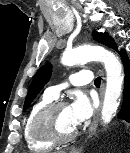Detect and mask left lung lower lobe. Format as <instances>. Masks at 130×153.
I'll use <instances>...</instances> for the list:
<instances>
[{
	"mask_svg": "<svg viewBox=\"0 0 130 153\" xmlns=\"http://www.w3.org/2000/svg\"><path fill=\"white\" fill-rule=\"evenodd\" d=\"M107 46L117 50L116 44L112 39H108ZM120 55L122 57V61L124 63L125 68V86H124V101L122 105L121 112L119 113V117L130 122V60L125 54L124 50H121Z\"/></svg>",
	"mask_w": 130,
	"mask_h": 153,
	"instance_id": "left-lung-lower-lobe-1",
	"label": "left lung lower lobe"
}]
</instances>
